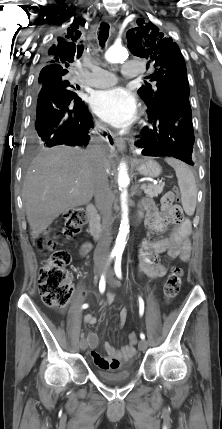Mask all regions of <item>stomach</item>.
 Segmentation results:
<instances>
[{
	"mask_svg": "<svg viewBox=\"0 0 222 429\" xmlns=\"http://www.w3.org/2000/svg\"><path fill=\"white\" fill-rule=\"evenodd\" d=\"M133 165L139 174L146 177L155 178L158 177L162 172V168L158 162L152 159L138 160L133 162Z\"/></svg>",
	"mask_w": 222,
	"mask_h": 429,
	"instance_id": "1",
	"label": "stomach"
}]
</instances>
